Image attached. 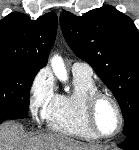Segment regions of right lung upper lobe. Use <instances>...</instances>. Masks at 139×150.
Returning <instances> with one entry per match:
<instances>
[{
  "mask_svg": "<svg viewBox=\"0 0 139 150\" xmlns=\"http://www.w3.org/2000/svg\"><path fill=\"white\" fill-rule=\"evenodd\" d=\"M57 15L37 20L13 12L0 21V63H13L40 70L47 63L57 30Z\"/></svg>",
  "mask_w": 139,
  "mask_h": 150,
  "instance_id": "cb5924a9",
  "label": "right lung upper lobe"
}]
</instances>
